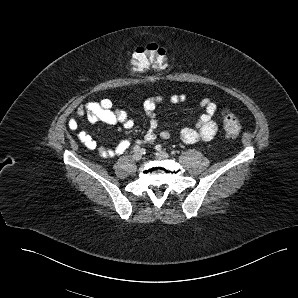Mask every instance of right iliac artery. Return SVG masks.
Listing matches in <instances>:
<instances>
[{
    "label": "right iliac artery",
    "mask_w": 298,
    "mask_h": 298,
    "mask_svg": "<svg viewBox=\"0 0 298 298\" xmlns=\"http://www.w3.org/2000/svg\"><path fill=\"white\" fill-rule=\"evenodd\" d=\"M134 151H135V152H139V151H140V147H139L138 145H136V146L134 147Z\"/></svg>",
    "instance_id": "82829eb1"
}]
</instances>
